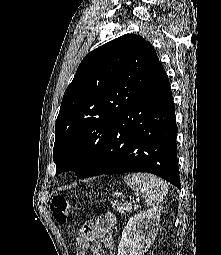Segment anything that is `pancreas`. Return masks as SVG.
<instances>
[{
    "instance_id": "cf45deb5",
    "label": "pancreas",
    "mask_w": 221,
    "mask_h": 255,
    "mask_svg": "<svg viewBox=\"0 0 221 255\" xmlns=\"http://www.w3.org/2000/svg\"><path fill=\"white\" fill-rule=\"evenodd\" d=\"M113 207L120 214L130 213L133 210V206L131 204H129V203L122 204L121 202H114L113 203Z\"/></svg>"
}]
</instances>
